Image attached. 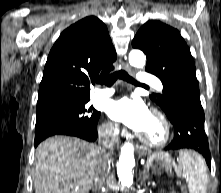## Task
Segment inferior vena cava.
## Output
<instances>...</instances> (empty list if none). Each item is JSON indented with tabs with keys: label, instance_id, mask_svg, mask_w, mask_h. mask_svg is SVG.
<instances>
[{
	"label": "inferior vena cava",
	"instance_id": "602c4592",
	"mask_svg": "<svg viewBox=\"0 0 221 193\" xmlns=\"http://www.w3.org/2000/svg\"><path fill=\"white\" fill-rule=\"evenodd\" d=\"M116 139L117 136L114 126L99 132V158L93 169L94 186L96 190L102 188L108 175L111 159L110 153L107 151L113 149Z\"/></svg>",
	"mask_w": 221,
	"mask_h": 193
}]
</instances>
